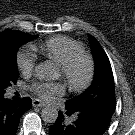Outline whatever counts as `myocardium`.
<instances>
[{
    "label": "myocardium",
    "mask_w": 135,
    "mask_h": 135,
    "mask_svg": "<svg viewBox=\"0 0 135 135\" xmlns=\"http://www.w3.org/2000/svg\"><path fill=\"white\" fill-rule=\"evenodd\" d=\"M83 62L86 66V75L81 82H75L72 74L79 63ZM62 77L73 92H83L87 90L93 82L95 76V64L92 57L81 52L72 56L64 64L60 65Z\"/></svg>",
    "instance_id": "myocardium-1"
}]
</instances>
